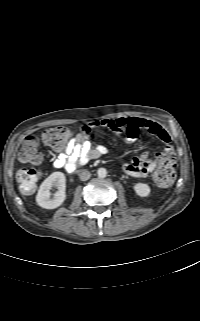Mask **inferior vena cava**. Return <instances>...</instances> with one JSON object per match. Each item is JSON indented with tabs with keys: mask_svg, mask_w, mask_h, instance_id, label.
Listing matches in <instances>:
<instances>
[{
	"mask_svg": "<svg viewBox=\"0 0 200 321\" xmlns=\"http://www.w3.org/2000/svg\"><path fill=\"white\" fill-rule=\"evenodd\" d=\"M91 174L89 171L84 170L79 174V178L81 181H86L90 178Z\"/></svg>",
	"mask_w": 200,
	"mask_h": 321,
	"instance_id": "obj_1",
	"label": "inferior vena cava"
}]
</instances>
